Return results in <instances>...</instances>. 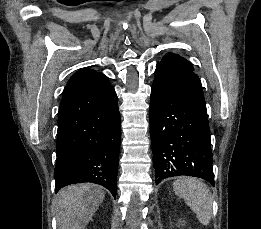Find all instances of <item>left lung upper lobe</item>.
<instances>
[{
    "label": "left lung upper lobe",
    "mask_w": 261,
    "mask_h": 229,
    "mask_svg": "<svg viewBox=\"0 0 261 229\" xmlns=\"http://www.w3.org/2000/svg\"><path fill=\"white\" fill-rule=\"evenodd\" d=\"M162 64H165L167 66H171V67H176V68H181V69H185V70H194L192 64L187 61L185 58L177 55V54H173V53H167L161 62Z\"/></svg>",
    "instance_id": "1"
}]
</instances>
